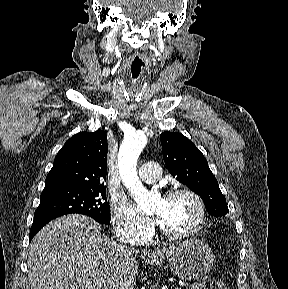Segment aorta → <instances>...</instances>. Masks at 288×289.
I'll list each match as a JSON object with an SVG mask.
<instances>
[{
  "instance_id": "762f6f07",
  "label": "aorta",
  "mask_w": 288,
  "mask_h": 289,
  "mask_svg": "<svg viewBox=\"0 0 288 289\" xmlns=\"http://www.w3.org/2000/svg\"><path fill=\"white\" fill-rule=\"evenodd\" d=\"M142 132H134L122 142L118 155L119 173L138 208L149 212L154 208L153 195L142 185L137 174V161L146 144Z\"/></svg>"
}]
</instances>
